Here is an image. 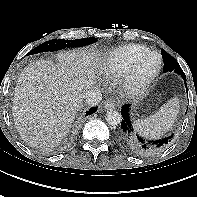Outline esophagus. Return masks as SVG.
Wrapping results in <instances>:
<instances>
[{
	"label": "esophagus",
	"instance_id": "1",
	"mask_svg": "<svg viewBox=\"0 0 197 197\" xmlns=\"http://www.w3.org/2000/svg\"><path fill=\"white\" fill-rule=\"evenodd\" d=\"M117 107V104L113 100H106L103 104L104 109H115Z\"/></svg>",
	"mask_w": 197,
	"mask_h": 197
}]
</instances>
